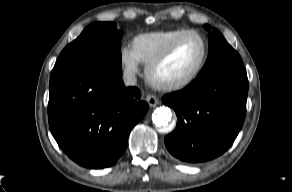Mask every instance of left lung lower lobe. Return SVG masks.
I'll return each instance as SVG.
<instances>
[{
    "mask_svg": "<svg viewBox=\"0 0 292 192\" xmlns=\"http://www.w3.org/2000/svg\"><path fill=\"white\" fill-rule=\"evenodd\" d=\"M246 70L197 77L183 90L162 98L177 115L175 130L165 137L168 151L184 162L198 163L223 154L244 122Z\"/></svg>",
    "mask_w": 292,
    "mask_h": 192,
    "instance_id": "1",
    "label": "left lung lower lobe"
}]
</instances>
